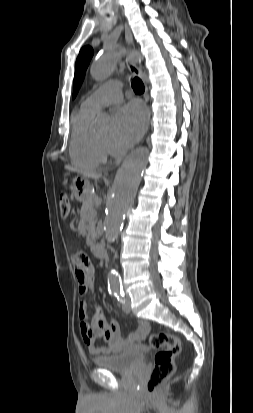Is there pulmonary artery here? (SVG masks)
<instances>
[{
	"label": "pulmonary artery",
	"instance_id": "obj_1",
	"mask_svg": "<svg viewBox=\"0 0 253 413\" xmlns=\"http://www.w3.org/2000/svg\"><path fill=\"white\" fill-rule=\"evenodd\" d=\"M122 99V91L118 82H108L94 91L82 106L98 111L99 109L117 103Z\"/></svg>",
	"mask_w": 253,
	"mask_h": 413
}]
</instances>
